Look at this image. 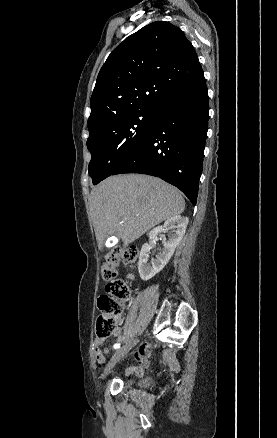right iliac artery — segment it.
Wrapping results in <instances>:
<instances>
[{
    "instance_id": "1",
    "label": "right iliac artery",
    "mask_w": 277,
    "mask_h": 438,
    "mask_svg": "<svg viewBox=\"0 0 277 438\" xmlns=\"http://www.w3.org/2000/svg\"><path fill=\"white\" fill-rule=\"evenodd\" d=\"M113 348H114V349H116V348H120V343H116V344L113 346Z\"/></svg>"
}]
</instances>
